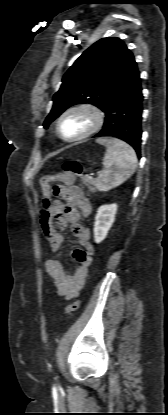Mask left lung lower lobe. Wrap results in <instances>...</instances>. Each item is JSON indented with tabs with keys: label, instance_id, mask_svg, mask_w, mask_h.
I'll return each mask as SVG.
<instances>
[{
	"label": "left lung lower lobe",
	"instance_id": "left-lung-lower-lobe-1",
	"mask_svg": "<svg viewBox=\"0 0 168 415\" xmlns=\"http://www.w3.org/2000/svg\"><path fill=\"white\" fill-rule=\"evenodd\" d=\"M142 101L140 74L136 69L107 105L103 128L95 137H117L130 144L140 158Z\"/></svg>",
	"mask_w": 168,
	"mask_h": 415
}]
</instances>
